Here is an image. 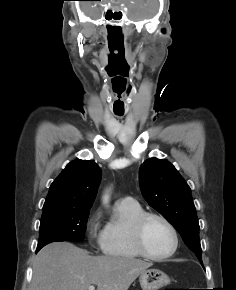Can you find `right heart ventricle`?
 <instances>
[{
  "mask_svg": "<svg viewBox=\"0 0 236 290\" xmlns=\"http://www.w3.org/2000/svg\"><path fill=\"white\" fill-rule=\"evenodd\" d=\"M143 212V208L136 201L117 203L116 217L107 223L100 236V246L105 255L123 259L141 256L133 243L131 226Z\"/></svg>",
  "mask_w": 236,
  "mask_h": 290,
  "instance_id": "right-heart-ventricle-1",
  "label": "right heart ventricle"
}]
</instances>
